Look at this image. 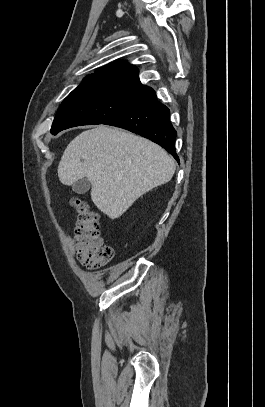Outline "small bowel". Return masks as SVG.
<instances>
[{"instance_id":"small-bowel-1","label":"small bowel","mask_w":265,"mask_h":407,"mask_svg":"<svg viewBox=\"0 0 265 407\" xmlns=\"http://www.w3.org/2000/svg\"><path fill=\"white\" fill-rule=\"evenodd\" d=\"M67 243H68L70 251L72 253H74V243H73V240H72V238L70 236L67 238Z\"/></svg>"}]
</instances>
